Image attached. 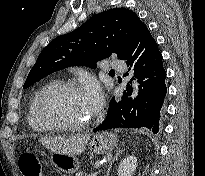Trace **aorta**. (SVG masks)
Instances as JSON below:
<instances>
[{"label": "aorta", "instance_id": "762f6f07", "mask_svg": "<svg viewBox=\"0 0 205 176\" xmlns=\"http://www.w3.org/2000/svg\"><path fill=\"white\" fill-rule=\"evenodd\" d=\"M137 85H134V90H133V93H132V97H135L137 95Z\"/></svg>", "mask_w": 205, "mask_h": 176}]
</instances>
